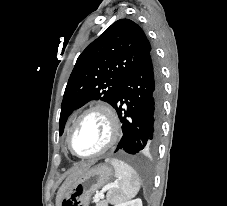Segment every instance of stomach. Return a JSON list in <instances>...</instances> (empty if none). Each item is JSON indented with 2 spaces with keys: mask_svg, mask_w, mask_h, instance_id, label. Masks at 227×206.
I'll use <instances>...</instances> for the list:
<instances>
[{
  "mask_svg": "<svg viewBox=\"0 0 227 206\" xmlns=\"http://www.w3.org/2000/svg\"><path fill=\"white\" fill-rule=\"evenodd\" d=\"M113 170L107 164L89 168L74 182L65 197H60L61 206H88L91 196L111 180Z\"/></svg>",
  "mask_w": 227,
  "mask_h": 206,
  "instance_id": "0dacf381",
  "label": "stomach"
}]
</instances>
